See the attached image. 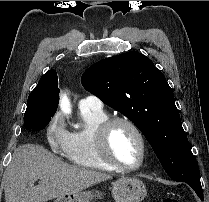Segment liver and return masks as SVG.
<instances>
[{"label":"liver","instance_id":"obj_1","mask_svg":"<svg viewBox=\"0 0 209 202\" xmlns=\"http://www.w3.org/2000/svg\"><path fill=\"white\" fill-rule=\"evenodd\" d=\"M110 178L99 171L71 166L42 146L25 144L14 151L5 171V201L46 202ZM38 179L40 184L36 186Z\"/></svg>","mask_w":209,"mask_h":202}]
</instances>
